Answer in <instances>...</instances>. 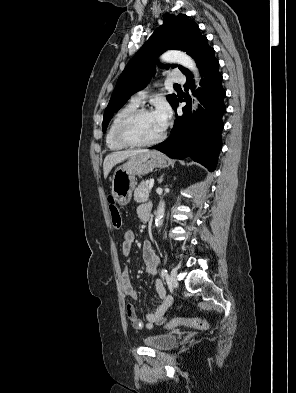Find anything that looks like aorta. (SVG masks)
I'll return each instance as SVG.
<instances>
[{"label":"aorta","mask_w":296,"mask_h":393,"mask_svg":"<svg viewBox=\"0 0 296 393\" xmlns=\"http://www.w3.org/2000/svg\"><path fill=\"white\" fill-rule=\"evenodd\" d=\"M161 60L164 62H169V63L177 62V63L181 64L182 66L186 67L187 69H189L193 73L195 80L199 79V73H198V69L196 67V63L186 53H183L180 51H168L161 56ZM197 105H198V101L195 100L192 105L193 110L197 108ZM164 212H165V203L163 201H160L158 208H157V212H156V218H155L156 227H160L162 225L163 218H164Z\"/></svg>","instance_id":"obj_1"}]
</instances>
